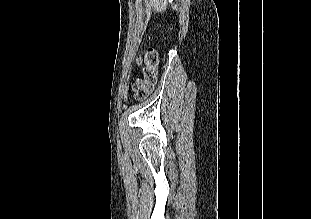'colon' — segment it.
Instances as JSON below:
<instances>
[{
    "instance_id": "obj_1",
    "label": "colon",
    "mask_w": 311,
    "mask_h": 219,
    "mask_svg": "<svg viewBox=\"0 0 311 219\" xmlns=\"http://www.w3.org/2000/svg\"><path fill=\"white\" fill-rule=\"evenodd\" d=\"M137 65L141 67V75L134 82L132 89L136 99H145L153 89L158 77V55L149 48L137 58Z\"/></svg>"
}]
</instances>
